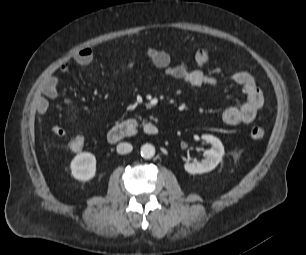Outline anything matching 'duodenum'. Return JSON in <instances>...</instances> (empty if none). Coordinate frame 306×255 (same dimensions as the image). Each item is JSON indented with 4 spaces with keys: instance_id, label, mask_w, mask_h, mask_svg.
<instances>
[{
    "instance_id": "1",
    "label": "duodenum",
    "mask_w": 306,
    "mask_h": 255,
    "mask_svg": "<svg viewBox=\"0 0 306 255\" xmlns=\"http://www.w3.org/2000/svg\"><path fill=\"white\" fill-rule=\"evenodd\" d=\"M140 129L148 136H156L159 132L158 127L153 123L147 122L141 124L136 119H130L114 125L108 131L107 139L110 143H117L136 135Z\"/></svg>"
}]
</instances>
